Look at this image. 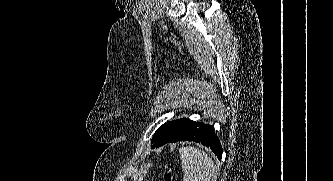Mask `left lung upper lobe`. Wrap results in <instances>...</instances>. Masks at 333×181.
<instances>
[{
	"instance_id": "5c2ea615",
	"label": "left lung upper lobe",
	"mask_w": 333,
	"mask_h": 181,
	"mask_svg": "<svg viewBox=\"0 0 333 181\" xmlns=\"http://www.w3.org/2000/svg\"><path fill=\"white\" fill-rule=\"evenodd\" d=\"M193 121L182 118L172 122L163 124L154 134L151 143L154 140H161L164 142H169L174 139L180 133H182Z\"/></svg>"
}]
</instances>
